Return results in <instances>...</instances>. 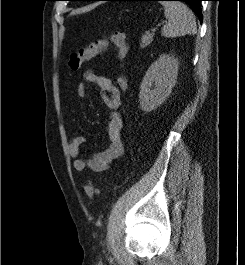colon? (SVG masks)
I'll use <instances>...</instances> for the list:
<instances>
[{"label": "colon", "instance_id": "obj_1", "mask_svg": "<svg viewBox=\"0 0 245 265\" xmlns=\"http://www.w3.org/2000/svg\"><path fill=\"white\" fill-rule=\"evenodd\" d=\"M111 45L117 49L118 59L121 62H124L129 49L126 35L123 32H114L110 35L101 36L91 42L88 46L72 52L68 60L69 68L73 71H78L84 63L88 62L97 55L104 53ZM117 84L119 89L125 90L127 88L126 76L121 75L118 78ZM84 191L90 200L99 193V190L92 183H87L84 186Z\"/></svg>", "mask_w": 245, "mask_h": 265}]
</instances>
